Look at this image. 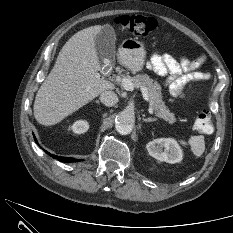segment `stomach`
<instances>
[{"mask_svg":"<svg viewBox=\"0 0 233 233\" xmlns=\"http://www.w3.org/2000/svg\"><path fill=\"white\" fill-rule=\"evenodd\" d=\"M146 57L144 44L135 39H126L119 49V60L129 70L137 72L142 70Z\"/></svg>","mask_w":233,"mask_h":233,"instance_id":"0dacf381","label":"stomach"}]
</instances>
